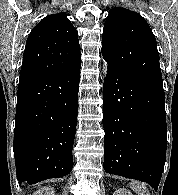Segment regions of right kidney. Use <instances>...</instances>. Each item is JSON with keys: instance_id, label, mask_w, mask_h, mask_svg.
<instances>
[{"instance_id": "obj_1", "label": "right kidney", "mask_w": 178, "mask_h": 195, "mask_svg": "<svg viewBox=\"0 0 178 195\" xmlns=\"http://www.w3.org/2000/svg\"><path fill=\"white\" fill-rule=\"evenodd\" d=\"M33 195H55V194L53 188L47 186V187L40 188Z\"/></svg>"}]
</instances>
